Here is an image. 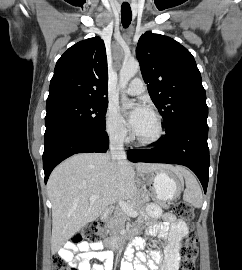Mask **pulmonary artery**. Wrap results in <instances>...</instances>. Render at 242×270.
<instances>
[{"label": "pulmonary artery", "mask_w": 242, "mask_h": 270, "mask_svg": "<svg viewBox=\"0 0 242 270\" xmlns=\"http://www.w3.org/2000/svg\"><path fill=\"white\" fill-rule=\"evenodd\" d=\"M145 91V85L142 79L135 78L131 81L129 86L126 88V93L129 95H139Z\"/></svg>", "instance_id": "1"}]
</instances>
